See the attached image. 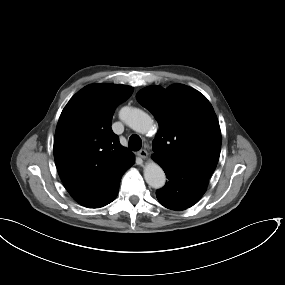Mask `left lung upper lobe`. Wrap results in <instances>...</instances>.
<instances>
[{
  "label": "left lung upper lobe",
  "mask_w": 285,
  "mask_h": 285,
  "mask_svg": "<svg viewBox=\"0 0 285 285\" xmlns=\"http://www.w3.org/2000/svg\"><path fill=\"white\" fill-rule=\"evenodd\" d=\"M136 98L159 123L152 158L209 179L219 159L221 131L207 98L182 84L150 86Z\"/></svg>",
  "instance_id": "1"
}]
</instances>
